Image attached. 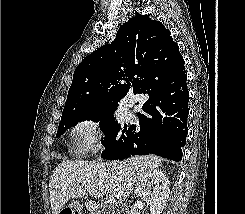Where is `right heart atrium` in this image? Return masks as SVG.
Listing matches in <instances>:
<instances>
[{"label":"right heart atrium","mask_w":245,"mask_h":214,"mask_svg":"<svg viewBox=\"0 0 245 214\" xmlns=\"http://www.w3.org/2000/svg\"><path fill=\"white\" fill-rule=\"evenodd\" d=\"M70 135L74 153L94 152L100 148V140L104 136V127L99 119L87 116L75 123Z\"/></svg>","instance_id":"obj_1"}]
</instances>
